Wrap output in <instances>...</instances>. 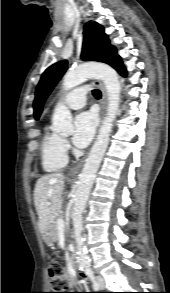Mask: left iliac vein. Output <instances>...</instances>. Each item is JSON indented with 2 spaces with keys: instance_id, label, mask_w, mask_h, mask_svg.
Masks as SVG:
<instances>
[{
  "instance_id": "1",
  "label": "left iliac vein",
  "mask_w": 170,
  "mask_h": 293,
  "mask_svg": "<svg viewBox=\"0 0 170 293\" xmlns=\"http://www.w3.org/2000/svg\"><path fill=\"white\" fill-rule=\"evenodd\" d=\"M97 281L100 289H104L105 287V280L102 275H97Z\"/></svg>"
}]
</instances>
